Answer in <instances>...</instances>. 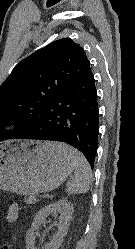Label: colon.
I'll use <instances>...</instances> for the list:
<instances>
[{"mask_svg":"<svg viewBox=\"0 0 135 249\" xmlns=\"http://www.w3.org/2000/svg\"><path fill=\"white\" fill-rule=\"evenodd\" d=\"M4 248H5V249H10V248H11V244L5 243Z\"/></svg>","mask_w":135,"mask_h":249,"instance_id":"colon-1","label":"colon"}]
</instances>
